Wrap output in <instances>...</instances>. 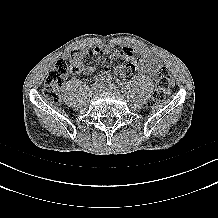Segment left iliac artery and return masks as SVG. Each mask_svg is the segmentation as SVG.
<instances>
[{"instance_id":"obj_1","label":"left iliac artery","mask_w":218,"mask_h":218,"mask_svg":"<svg viewBox=\"0 0 218 218\" xmlns=\"http://www.w3.org/2000/svg\"><path fill=\"white\" fill-rule=\"evenodd\" d=\"M105 82L109 83L110 85L113 84L114 86L117 84L115 81L112 82L110 78H106Z\"/></svg>"}]
</instances>
